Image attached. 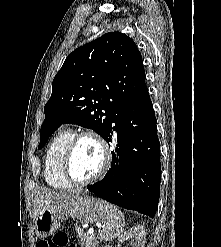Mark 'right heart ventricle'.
Returning <instances> with one entry per match:
<instances>
[{"instance_id": "right-heart-ventricle-1", "label": "right heart ventricle", "mask_w": 221, "mask_h": 247, "mask_svg": "<svg viewBox=\"0 0 221 247\" xmlns=\"http://www.w3.org/2000/svg\"><path fill=\"white\" fill-rule=\"evenodd\" d=\"M73 137L69 130H62L52 139L44 157V176L46 182L56 189H67L72 186L62 173V160L65 150Z\"/></svg>"}]
</instances>
